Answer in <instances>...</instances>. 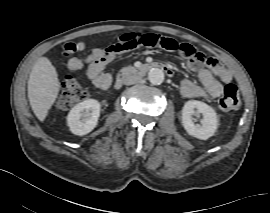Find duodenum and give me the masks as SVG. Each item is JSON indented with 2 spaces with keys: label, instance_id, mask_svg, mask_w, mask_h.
Masks as SVG:
<instances>
[{
  "label": "duodenum",
  "instance_id": "obj_1",
  "mask_svg": "<svg viewBox=\"0 0 270 213\" xmlns=\"http://www.w3.org/2000/svg\"><path fill=\"white\" fill-rule=\"evenodd\" d=\"M153 68L160 69L161 71L166 73L168 76L173 75V71L170 70L169 66L164 62H154V63H150V64H145V65L139 67L135 71V73L138 74V75H141V74H144V73L150 71ZM129 74H131V72L129 70L122 71L120 73V76H119L118 80L116 81L115 86L116 87L121 86L123 78L128 76Z\"/></svg>",
  "mask_w": 270,
  "mask_h": 213
}]
</instances>
